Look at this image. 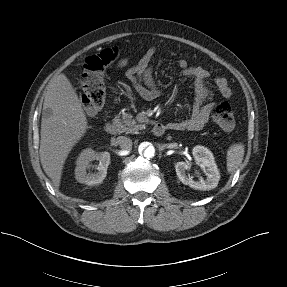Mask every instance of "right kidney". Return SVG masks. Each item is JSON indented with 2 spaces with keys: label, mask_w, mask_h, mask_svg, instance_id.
I'll use <instances>...</instances> for the list:
<instances>
[{
  "label": "right kidney",
  "mask_w": 287,
  "mask_h": 287,
  "mask_svg": "<svg viewBox=\"0 0 287 287\" xmlns=\"http://www.w3.org/2000/svg\"><path fill=\"white\" fill-rule=\"evenodd\" d=\"M99 160L96 173H87L89 163L93 160ZM110 164V153H97L91 148L84 149L76 161L75 178L79 183L86 185H95L101 183L107 174V168Z\"/></svg>",
  "instance_id": "ca27d5eb"
}]
</instances>
